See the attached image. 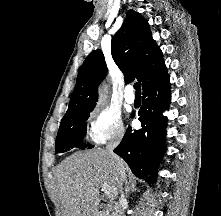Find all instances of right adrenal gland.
I'll return each instance as SVG.
<instances>
[{"label":"right adrenal gland","instance_id":"obj_1","mask_svg":"<svg viewBox=\"0 0 221 216\" xmlns=\"http://www.w3.org/2000/svg\"><path fill=\"white\" fill-rule=\"evenodd\" d=\"M132 191H136L137 189H131ZM129 191H130V188L127 186V188H126V196H128V193H129ZM140 190H138V192H139Z\"/></svg>","mask_w":221,"mask_h":216}]
</instances>
